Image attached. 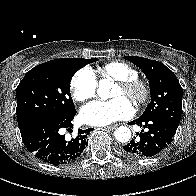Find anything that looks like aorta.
I'll return each instance as SVG.
<instances>
[{
  "instance_id": "762f6f07",
  "label": "aorta",
  "mask_w": 196,
  "mask_h": 196,
  "mask_svg": "<svg viewBox=\"0 0 196 196\" xmlns=\"http://www.w3.org/2000/svg\"><path fill=\"white\" fill-rule=\"evenodd\" d=\"M113 86V82L109 79H101L99 81V87L97 89V94L102 100H107L111 98L113 95L111 93V88ZM114 136L117 141L121 143L128 142L131 138V131L126 126H120L115 130Z\"/></svg>"
}]
</instances>
